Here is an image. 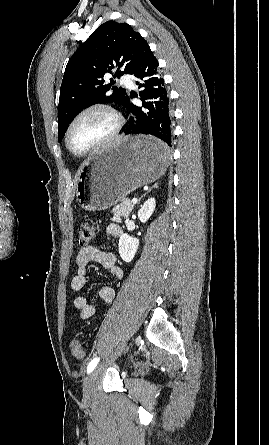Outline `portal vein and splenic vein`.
<instances>
[{
    "label": "portal vein and splenic vein",
    "instance_id": "18ae733b",
    "mask_svg": "<svg viewBox=\"0 0 269 445\" xmlns=\"http://www.w3.org/2000/svg\"><path fill=\"white\" fill-rule=\"evenodd\" d=\"M133 204H135V203H137V199H132V201H131Z\"/></svg>",
    "mask_w": 269,
    "mask_h": 445
}]
</instances>
